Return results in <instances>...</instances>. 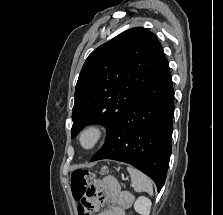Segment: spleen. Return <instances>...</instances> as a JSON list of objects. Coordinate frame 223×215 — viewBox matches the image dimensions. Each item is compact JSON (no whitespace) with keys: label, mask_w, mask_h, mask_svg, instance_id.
I'll return each instance as SVG.
<instances>
[{"label":"spleen","mask_w":223,"mask_h":215,"mask_svg":"<svg viewBox=\"0 0 223 215\" xmlns=\"http://www.w3.org/2000/svg\"><path fill=\"white\" fill-rule=\"evenodd\" d=\"M127 171H129L131 175L132 187H134L135 191H148V193L152 195V181L145 173L138 171V169H134V167H127Z\"/></svg>","instance_id":"1"}]
</instances>
